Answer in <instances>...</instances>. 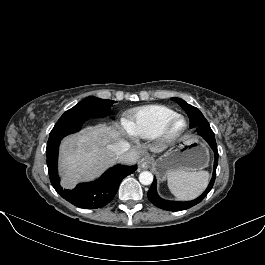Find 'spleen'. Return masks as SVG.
<instances>
[{"label":"spleen","instance_id":"spleen-1","mask_svg":"<svg viewBox=\"0 0 265 265\" xmlns=\"http://www.w3.org/2000/svg\"><path fill=\"white\" fill-rule=\"evenodd\" d=\"M168 187L180 200L196 198L206 188L209 181L207 171H170L167 175Z\"/></svg>","mask_w":265,"mask_h":265}]
</instances>
